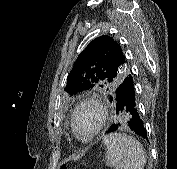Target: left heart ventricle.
<instances>
[{
	"mask_svg": "<svg viewBox=\"0 0 177 169\" xmlns=\"http://www.w3.org/2000/svg\"><path fill=\"white\" fill-rule=\"evenodd\" d=\"M77 127L83 135L91 134L98 125V115L90 107L83 108L77 115Z\"/></svg>",
	"mask_w": 177,
	"mask_h": 169,
	"instance_id": "obj_1",
	"label": "left heart ventricle"
}]
</instances>
